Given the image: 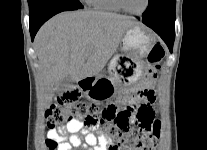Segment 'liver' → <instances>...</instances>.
I'll list each match as a JSON object with an SVG mask.
<instances>
[{
  "instance_id": "obj_1",
  "label": "liver",
  "mask_w": 207,
  "mask_h": 150,
  "mask_svg": "<svg viewBox=\"0 0 207 150\" xmlns=\"http://www.w3.org/2000/svg\"><path fill=\"white\" fill-rule=\"evenodd\" d=\"M138 24L132 17L92 10L63 12L46 22L35 37L45 106L64 78L78 82L97 76L125 32Z\"/></svg>"
}]
</instances>
